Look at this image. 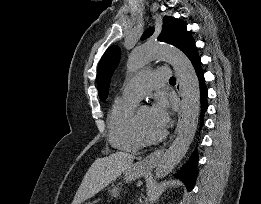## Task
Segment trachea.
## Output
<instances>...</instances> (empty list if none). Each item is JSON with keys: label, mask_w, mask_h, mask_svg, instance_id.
<instances>
[{"label": "trachea", "mask_w": 261, "mask_h": 204, "mask_svg": "<svg viewBox=\"0 0 261 204\" xmlns=\"http://www.w3.org/2000/svg\"><path fill=\"white\" fill-rule=\"evenodd\" d=\"M169 82H176V78L175 77H171Z\"/></svg>", "instance_id": "3493384b"}]
</instances>
